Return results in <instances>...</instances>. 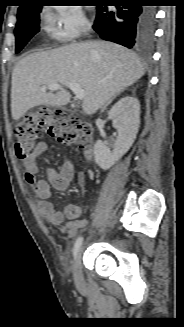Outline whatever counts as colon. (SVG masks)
I'll return each instance as SVG.
<instances>
[{
  "label": "colon",
  "mask_w": 184,
  "mask_h": 327,
  "mask_svg": "<svg viewBox=\"0 0 184 327\" xmlns=\"http://www.w3.org/2000/svg\"><path fill=\"white\" fill-rule=\"evenodd\" d=\"M42 132H47L64 145L85 148L92 135V127L63 110L39 109L27 113L12 127L15 153L19 159L24 160L30 155Z\"/></svg>",
  "instance_id": "obj_1"
}]
</instances>
